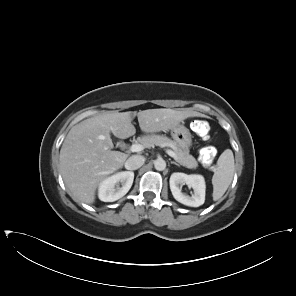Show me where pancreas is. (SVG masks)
Instances as JSON below:
<instances>
[{
	"instance_id": "1",
	"label": "pancreas",
	"mask_w": 296,
	"mask_h": 296,
	"mask_svg": "<svg viewBox=\"0 0 296 296\" xmlns=\"http://www.w3.org/2000/svg\"><path fill=\"white\" fill-rule=\"evenodd\" d=\"M138 142L142 143L146 148L153 146L170 147L176 154V161L182 166L189 169H196L198 163L196 159L189 154V149H181L175 141L166 136L151 134L138 138Z\"/></svg>"
}]
</instances>
